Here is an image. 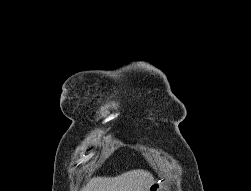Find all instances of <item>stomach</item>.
Segmentation results:
<instances>
[{"instance_id":"obj_1","label":"stomach","mask_w":251,"mask_h":191,"mask_svg":"<svg viewBox=\"0 0 251 191\" xmlns=\"http://www.w3.org/2000/svg\"><path fill=\"white\" fill-rule=\"evenodd\" d=\"M160 187H161L160 181H158V179H154L151 185H149L148 191H160Z\"/></svg>"}]
</instances>
